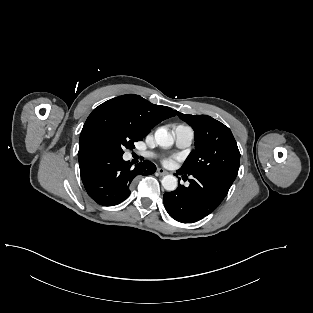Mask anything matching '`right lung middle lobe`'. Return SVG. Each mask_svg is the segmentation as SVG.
Masks as SVG:
<instances>
[{"label": "right lung middle lobe", "mask_w": 313, "mask_h": 313, "mask_svg": "<svg viewBox=\"0 0 313 313\" xmlns=\"http://www.w3.org/2000/svg\"><path fill=\"white\" fill-rule=\"evenodd\" d=\"M145 137L128 121L121 118H111L103 124L99 131L98 152L123 155L124 149L134 148V142Z\"/></svg>", "instance_id": "right-lung-middle-lobe-1"}]
</instances>
